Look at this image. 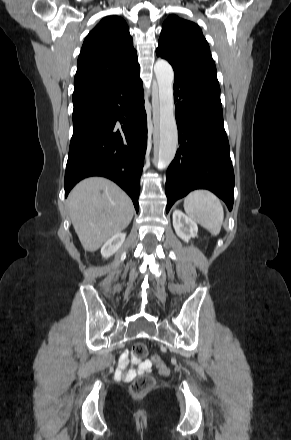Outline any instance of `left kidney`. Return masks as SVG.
<instances>
[{
  "mask_svg": "<svg viewBox=\"0 0 291 440\" xmlns=\"http://www.w3.org/2000/svg\"><path fill=\"white\" fill-rule=\"evenodd\" d=\"M173 227L178 237L185 242L196 237L198 233L196 222L178 209L173 212Z\"/></svg>",
  "mask_w": 291,
  "mask_h": 440,
  "instance_id": "1",
  "label": "left kidney"
}]
</instances>
